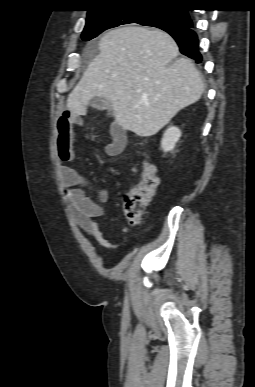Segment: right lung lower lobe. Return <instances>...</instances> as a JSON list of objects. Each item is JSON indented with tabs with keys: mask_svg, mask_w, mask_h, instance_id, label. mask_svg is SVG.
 Returning <instances> with one entry per match:
<instances>
[{
	"mask_svg": "<svg viewBox=\"0 0 255 387\" xmlns=\"http://www.w3.org/2000/svg\"><path fill=\"white\" fill-rule=\"evenodd\" d=\"M185 13L188 14V12ZM161 29L169 33L176 40L182 54L194 59L197 63H201L202 56L199 52V41L193 24L184 27Z\"/></svg>",
	"mask_w": 255,
	"mask_h": 387,
	"instance_id": "98d812e1",
	"label": "right lung lower lobe"
}]
</instances>
